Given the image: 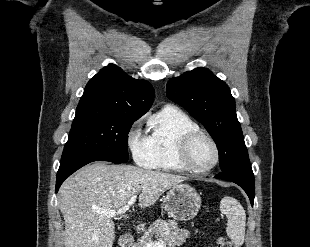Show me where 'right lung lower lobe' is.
Instances as JSON below:
<instances>
[{"mask_svg":"<svg viewBox=\"0 0 310 247\" xmlns=\"http://www.w3.org/2000/svg\"><path fill=\"white\" fill-rule=\"evenodd\" d=\"M93 161H109V162H113L116 164L121 163L115 160H111L108 158H102V157H82V158H75V159H71L65 162H61L58 173H57L56 192L58 191L61 184L67 177H69L72 173H74L79 168Z\"/></svg>","mask_w":310,"mask_h":247,"instance_id":"obj_1","label":"right lung lower lobe"}]
</instances>
